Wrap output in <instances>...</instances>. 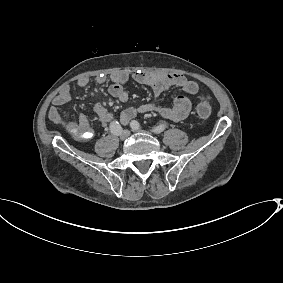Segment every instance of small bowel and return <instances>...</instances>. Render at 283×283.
I'll list each match as a JSON object with an SVG mask.
<instances>
[{
	"label": "small bowel",
	"instance_id": "1",
	"mask_svg": "<svg viewBox=\"0 0 283 283\" xmlns=\"http://www.w3.org/2000/svg\"><path fill=\"white\" fill-rule=\"evenodd\" d=\"M132 79L133 81L150 86L155 98H158L163 92L177 88L185 95H176L173 104L170 107L159 106L156 102H149L138 107H129L122 111L120 120L123 124H128L131 119L140 113H159L162 117L179 122L184 120L190 113L191 101L186 95H195L198 93V84L187 78L183 74L178 73H152L146 71H134L129 73L127 71H119L111 74V84L109 86V93L114 98L121 102L128 100V93L124 89V85ZM107 81L105 75L96 77L95 82L99 85ZM89 84L87 77H81L77 81V85L85 88ZM71 99V92L68 85L61 87L59 93L53 99L52 106L49 110L48 116L51 121L63 127H69L71 122L66 121L60 114L59 108L67 104ZM98 120L103 126L110 124L113 120L112 113L101 103L94 106ZM76 124L82 130L89 131V124L86 115L80 114Z\"/></svg>",
	"mask_w": 283,
	"mask_h": 283
}]
</instances>
